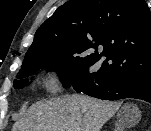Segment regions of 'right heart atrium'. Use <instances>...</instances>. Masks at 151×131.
<instances>
[{
    "label": "right heart atrium",
    "mask_w": 151,
    "mask_h": 131,
    "mask_svg": "<svg viewBox=\"0 0 151 131\" xmlns=\"http://www.w3.org/2000/svg\"><path fill=\"white\" fill-rule=\"evenodd\" d=\"M43 82L44 85L51 90H55L59 87V80L52 72H48L43 76Z\"/></svg>",
    "instance_id": "obj_1"
}]
</instances>
